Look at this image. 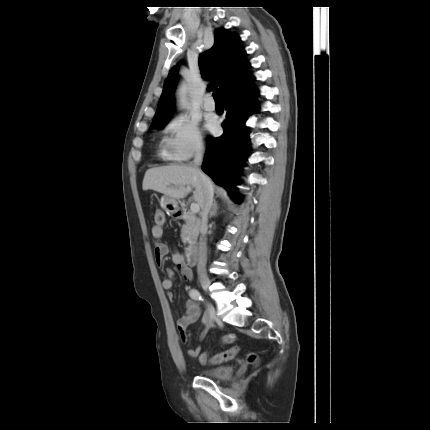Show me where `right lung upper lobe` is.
I'll return each mask as SVG.
<instances>
[{
  "label": "right lung upper lobe",
  "instance_id": "cb5924a9",
  "mask_svg": "<svg viewBox=\"0 0 430 430\" xmlns=\"http://www.w3.org/2000/svg\"><path fill=\"white\" fill-rule=\"evenodd\" d=\"M245 57L246 52L241 46L240 38L225 29H217L214 46L199 57L202 78L218 81V86L223 89V96L225 97L231 88L252 76L249 73L250 63ZM176 77L177 69L174 67L165 80L152 125L169 120L175 105L173 92L176 86ZM216 86L217 84L214 82L208 85V89Z\"/></svg>",
  "mask_w": 430,
  "mask_h": 430
}]
</instances>
